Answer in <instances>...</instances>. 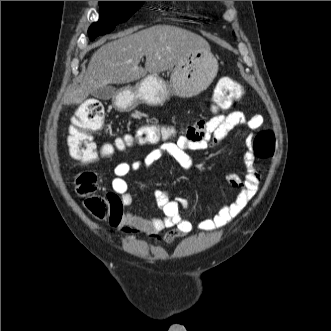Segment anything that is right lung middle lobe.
Wrapping results in <instances>:
<instances>
[{
  "mask_svg": "<svg viewBox=\"0 0 331 331\" xmlns=\"http://www.w3.org/2000/svg\"><path fill=\"white\" fill-rule=\"evenodd\" d=\"M144 1H100V16L89 30V38L94 40L98 35L109 33L115 25L126 21Z\"/></svg>",
  "mask_w": 331,
  "mask_h": 331,
  "instance_id": "1",
  "label": "right lung middle lobe"
}]
</instances>
